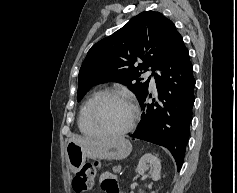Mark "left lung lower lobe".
I'll return each instance as SVG.
<instances>
[{
  "label": "left lung lower lobe",
  "instance_id": "1",
  "mask_svg": "<svg viewBox=\"0 0 237 193\" xmlns=\"http://www.w3.org/2000/svg\"><path fill=\"white\" fill-rule=\"evenodd\" d=\"M154 74L158 101L149 104L147 93L141 99L144 110L138 129L128 136L164 146L172 153L178 171L183 163L189 138L194 104L193 67L181 39Z\"/></svg>",
  "mask_w": 237,
  "mask_h": 193
}]
</instances>
